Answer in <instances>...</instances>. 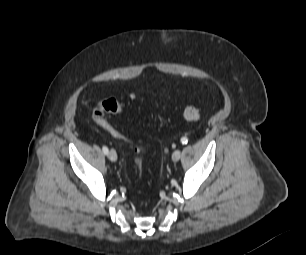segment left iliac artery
I'll list each match as a JSON object with an SVG mask.
<instances>
[{
    "mask_svg": "<svg viewBox=\"0 0 306 255\" xmlns=\"http://www.w3.org/2000/svg\"><path fill=\"white\" fill-rule=\"evenodd\" d=\"M188 142V139L186 137H183L181 138V143L184 145V144H187Z\"/></svg>",
    "mask_w": 306,
    "mask_h": 255,
    "instance_id": "left-iliac-artery-1",
    "label": "left iliac artery"
}]
</instances>
